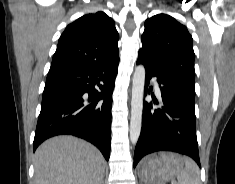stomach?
I'll list each match as a JSON object with an SVG mask.
<instances>
[{
	"label": "stomach",
	"instance_id": "obj_1",
	"mask_svg": "<svg viewBox=\"0 0 235 184\" xmlns=\"http://www.w3.org/2000/svg\"><path fill=\"white\" fill-rule=\"evenodd\" d=\"M183 168L184 162L180 154L158 152V156H152L142 162L138 168V174L146 184H166V182H174Z\"/></svg>",
	"mask_w": 235,
	"mask_h": 184
}]
</instances>
